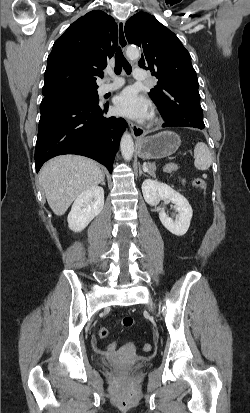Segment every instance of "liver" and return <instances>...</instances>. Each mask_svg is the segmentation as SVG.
<instances>
[{"instance_id": "1", "label": "liver", "mask_w": 250, "mask_h": 413, "mask_svg": "<svg viewBox=\"0 0 250 413\" xmlns=\"http://www.w3.org/2000/svg\"><path fill=\"white\" fill-rule=\"evenodd\" d=\"M103 178L104 173L95 161L76 155L57 156L39 172L47 202L57 216L63 215L82 192L97 186Z\"/></svg>"}]
</instances>
